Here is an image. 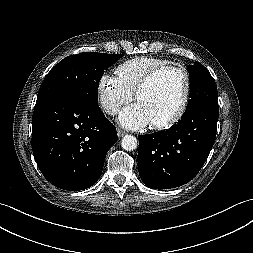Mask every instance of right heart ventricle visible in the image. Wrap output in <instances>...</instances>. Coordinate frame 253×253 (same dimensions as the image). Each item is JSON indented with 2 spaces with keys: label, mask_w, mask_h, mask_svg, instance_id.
Listing matches in <instances>:
<instances>
[{
  "label": "right heart ventricle",
  "mask_w": 253,
  "mask_h": 253,
  "mask_svg": "<svg viewBox=\"0 0 253 253\" xmlns=\"http://www.w3.org/2000/svg\"><path fill=\"white\" fill-rule=\"evenodd\" d=\"M167 64L169 62L161 58L135 57L118 65L115 68V76L124 88L134 94L138 84L149 71Z\"/></svg>",
  "instance_id": "obj_1"
}]
</instances>
